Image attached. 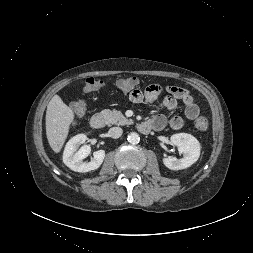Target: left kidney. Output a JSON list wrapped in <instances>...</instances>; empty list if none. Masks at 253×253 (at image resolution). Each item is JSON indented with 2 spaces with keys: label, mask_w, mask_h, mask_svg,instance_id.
Here are the masks:
<instances>
[{
  "label": "left kidney",
  "mask_w": 253,
  "mask_h": 253,
  "mask_svg": "<svg viewBox=\"0 0 253 253\" xmlns=\"http://www.w3.org/2000/svg\"><path fill=\"white\" fill-rule=\"evenodd\" d=\"M171 143L177 146L179 153L183 154L181 159L176 157H164V165L171 170H181L190 167L200 156L199 141L187 133L174 134L170 138Z\"/></svg>",
  "instance_id": "left-kidney-1"
}]
</instances>
